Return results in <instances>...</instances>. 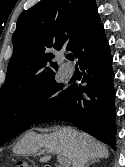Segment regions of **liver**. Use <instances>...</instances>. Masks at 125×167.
Instances as JSON below:
<instances>
[{
  "label": "liver",
  "instance_id": "1",
  "mask_svg": "<svg viewBox=\"0 0 125 167\" xmlns=\"http://www.w3.org/2000/svg\"><path fill=\"white\" fill-rule=\"evenodd\" d=\"M40 148H44L48 153L40 158V162H48L49 154L56 153L68 158L72 167H83L92 159L109 156L105 145L92 136L70 127H55L51 132L41 134L28 132L14 146L13 152L19 155H34Z\"/></svg>",
  "mask_w": 125,
  "mask_h": 167
}]
</instances>
